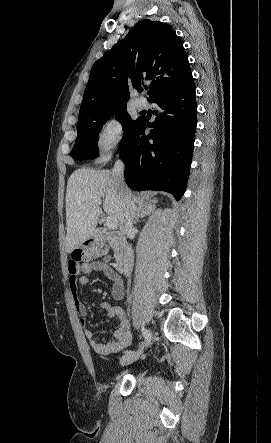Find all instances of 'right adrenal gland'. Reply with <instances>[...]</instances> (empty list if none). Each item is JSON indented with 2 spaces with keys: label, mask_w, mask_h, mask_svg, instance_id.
<instances>
[{
  "label": "right adrenal gland",
  "mask_w": 271,
  "mask_h": 443,
  "mask_svg": "<svg viewBox=\"0 0 271 443\" xmlns=\"http://www.w3.org/2000/svg\"><path fill=\"white\" fill-rule=\"evenodd\" d=\"M135 212L136 214L134 223H137L139 218H147V216H151V214L155 212V208H151V206H145V204H141V206H137Z\"/></svg>",
  "instance_id": "right-adrenal-gland-1"
}]
</instances>
